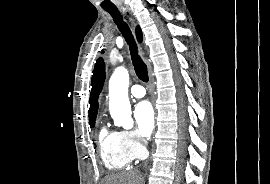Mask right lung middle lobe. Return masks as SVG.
<instances>
[{
	"label": "right lung middle lobe",
	"mask_w": 270,
	"mask_h": 184,
	"mask_svg": "<svg viewBox=\"0 0 270 184\" xmlns=\"http://www.w3.org/2000/svg\"><path fill=\"white\" fill-rule=\"evenodd\" d=\"M89 124H90V127H94L95 121H91L89 122Z\"/></svg>",
	"instance_id": "dd1d6c3e"
}]
</instances>
